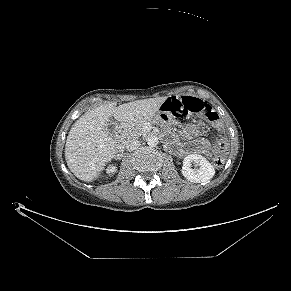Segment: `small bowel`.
I'll return each mask as SVG.
<instances>
[{
    "mask_svg": "<svg viewBox=\"0 0 291 291\" xmlns=\"http://www.w3.org/2000/svg\"><path fill=\"white\" fill-rule=\"evenodd\" d=\"M184 97H189V96H184ZM196 145H197V150L200 152V153H203V154H206V155H209L210 154V144L207 140L205 139H199L197 142H196Z\"/></svg>",
    "mask_w": 291,
    "mask_h": 291,
    "instance_id": "c3829d8e",
    "label": "small bowel"
}]
</instances>
